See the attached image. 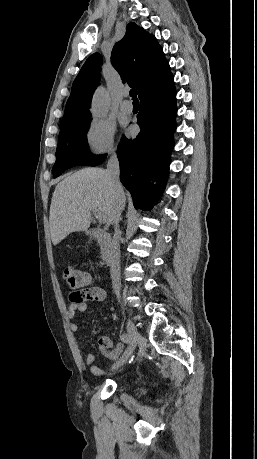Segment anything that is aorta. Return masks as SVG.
Wrapping results in <instances>:
<instances>
[{"label":"aorta","mask_w":257,"mask_h":459,"mask_svg":"<svg viewBox=\"0 0 257 459\" xmlns=\"http://www.w3.org/2000/svg\"><path fill=\"white\" fill-rule=\"evenodd\" d=\"M107 109V95L104 88H100L94 95L91 112L96 118L102 117Z\"/></svg>","instance_id":"aorta-1"}]
</instances>
